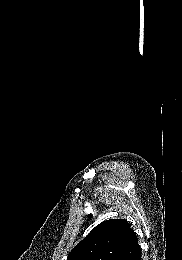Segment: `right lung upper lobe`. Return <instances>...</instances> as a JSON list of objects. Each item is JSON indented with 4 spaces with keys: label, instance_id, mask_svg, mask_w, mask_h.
I'll list each match as a JSON object with an SVG mask.
<instances>
[{
    "label": "right lung upper lobe",
    "instance_id": "cb5924a9",
    "mask_svg": "<svg viewBox=\"0 0 182 260\" xmlns=\"http://www.w3.org/2000/svg\"><path fill=\"white\" fill-rule=\"evenodd\" d=\"M141 252L136 233L123 219L98 224L70 252L67 260H133Z\"/></svg>",
    "mask_w": 182,
    "mask_h": 260
}]
</instances>
